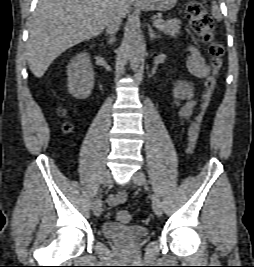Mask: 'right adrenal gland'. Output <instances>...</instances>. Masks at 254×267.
Instances as JSON below:
<instances>
[{
    "label": "right adrenal gland",
    "instance_id": "obj_1",
    "mask_svg": "<svg viewBox=\"0 0 254 267\" xmlns=\"http://www.w3.org/2000/svg\"><path fill=\"white\" fill-rule=\"evenodd\" d=\"M109 43H113L115 41V37L114 36H111L109 39H108Z\"/></svg>",
    "mask_w": 254,
    "mask_h": 267
}]
</instances>
